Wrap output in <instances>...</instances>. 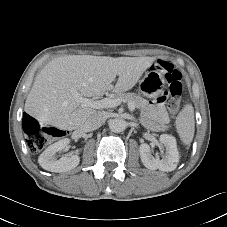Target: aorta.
<instances>
[{"label": "aorta", "instance_id": "obj_1", "mask_svg": "<svg viewBox=\"0 0 227 227\" xmlns=\"http://www.w3.org/2000/svg\"><path fill=\"white\" fill-rule=\"evenodd\" d=\"M127 123L124 119L115 118L110 120L109 122V129L112 132L120 133L126 129Z\"/></svg>", "mask_w": 227, "mask_h": 227}]
</instances>
